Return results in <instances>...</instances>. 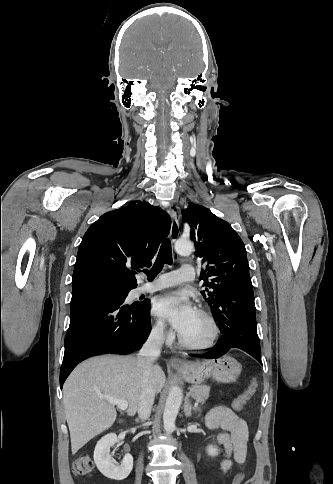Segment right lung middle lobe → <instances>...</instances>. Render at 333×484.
Listing matches in <instances>:
<instances>
[{
	"mask_svg": "<svg viewBox=\"0 0 333 484\" xmlns=\"http://www.w3.org/2000/svg\"><path fill=\"white\" fill-rule=\"evenodd\" d=\"M122 292H123V294H128L129 291H122ZM132 305H134V304H132ZM134 306L141 307V305H134Z\"/></svg>",
	"mask_w": 333,
	"mask_h": 484,
	"instance_id": "obj_1",
	"label": "right lung middle lobe"
}]
</instances>
